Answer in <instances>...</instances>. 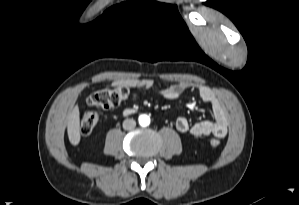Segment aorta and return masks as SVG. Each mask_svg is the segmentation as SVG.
I'll list each match as a JSON object with an SVG mask.
<instances>
[{
    "label": "aorta",
    "mask_w": 299,
    "mask_h": 205,
    "mask_svg": "<svg viewBox=\"0 0 299 205\" xmlns=\"http://www.w3.org/2000/svg\"><path fill=\"white\" fill-rule=\"evenodd\" d=\"M139 124L141 126H148L150 124V117L146 114H142L139 116Z\"/></svg>",
    "instance_id": "obj_1"
}]
</instances>
